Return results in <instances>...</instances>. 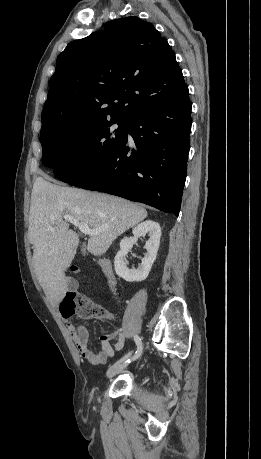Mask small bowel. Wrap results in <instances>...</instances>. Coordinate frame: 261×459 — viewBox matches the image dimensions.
Returning <instances> with one entry per match:
<instances>
[{
	"instance_id": "obj_1",
	"label": "small bowel",
	"mask_w": 261,
	"mask_h": 459,
	"mask_svg": "<svg viewBox=\"0 0 261 459\" xmlns=\"http://www.w3.org/2000/svg\"><path fill=\"white\" fill-rule=\"evenodd\" d=\"M98 263L108 276L112 291L118 298L116 280L110 264L103 258H99ZM68 284L71 292L67 293V295L72 293L78 286L77 282L73 279H69ZM67 329L80 355L92 366L105 365L114 356L115 352L122 350L124 347L125 337L120 330L102 335L99 338V350L95 351L89 345L88 332L82 324L69 320L67 322ZM113 339L117 340L114 346L111 345V340Z\"/></svg>"
}]
</instances>
